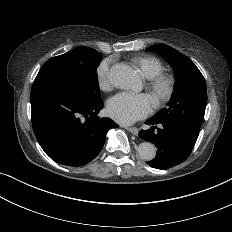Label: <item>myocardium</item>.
Instances as JSON below:
<instances>
[{"label": "myocardium", "mask_w": 232, "mask_h": 232, "mask_svg": "<svg viewBox=\"0 0 232 232\" xmlns=\"http://www.w3.org/2000/svg\"><path fill=\"white\" fill-rule=\"evenodd\" d=\"M145 87L159 106L166 103L173 95L175 80L171 75L161 73L154 78L147 79Z\"/></svg>", "instance_id": "myocardium-1"}]
</instances>
